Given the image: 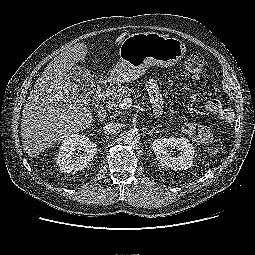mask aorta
<instances>
[{
  "label": "aorta",
  "mask_w": 255,
  "mask_h": 255,
  "mask_svg": "<svg viewBox=\"0 0 255 255\" xmlns=\"http://www.w3.org/2000/svg\"><path fill=\"white\" fill-rule=\"evenodd\" d=\"M140 141V134L136 129H130L124 135V143L129 146H135Z\"/></svg>",
  "instance_id": "aorta-1"
}]
</instances>
